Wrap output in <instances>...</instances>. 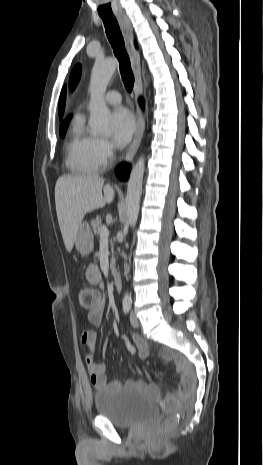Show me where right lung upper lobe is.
<instances>
[{
	"instance_id": "obj_1",
	"label": "right lung upper lobe",
	"mask_w": 263,
	"mask_h": 465,
	"mask_svg": "<svg viewBox=\"0 0 263 465\" xmlns=\"http://www.w3.org/2000/svg\"><path fill=\"white\" fill-rule=\"evenodd\" d=\"M65 95H66V87L64 86L62 91H61V95H60V99H59V106H58V113H59V116H60V120H62V116H63V113H64ZM69 118H71V116H69L65 120H67Z\"/></svg>"
}]
</instances>
